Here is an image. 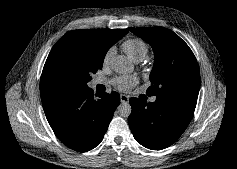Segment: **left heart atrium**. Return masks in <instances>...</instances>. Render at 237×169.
Listing matches in <instances>:
<instances>
[{
  "label": "left heart atrium",
  "mask_w": 237,
  "mask_h": 169,
  "mask_svg": "<svg viewBox=\"0 0 237 169\" xmlns=\"http://www.w3.org/2000/svg\"><path fill=\"white\" fill-rule=\"evenodd\" d=\"M112 83L120 90H128L137 83V78L133 75H122L113 79Z\"/></svg>",
  "instance_id": "1"
}]
</instances>
